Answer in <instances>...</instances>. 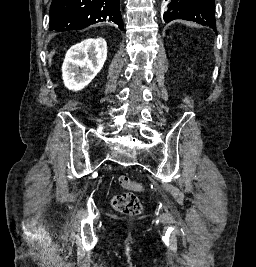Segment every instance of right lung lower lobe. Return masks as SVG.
<instances>
[{"instance_id":"1","label":"right lung lower lobe","mask_w":256,"mask_h":267,"mask_svg":"<svg viewBox=\"0 0 256 267\" xmlns=\"http://www.w3.org/2000/svg\"><path fill=\"white\" fill-rule=\"evenodd\" d=\"M119 1L53 0L50 6L49 30H78L103 21L114 22L123 30Z\"/></svg>"}]
</instances>
